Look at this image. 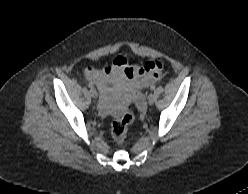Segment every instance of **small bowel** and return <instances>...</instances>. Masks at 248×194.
Here are the masks:
<instances>
[{
  "instance_id": "c3829d8e",
  "label": "small bowel",
  "mask_w": 248,
  "mask_h": 194,
  "mask_svg": "<svg viewBox=\"0 0 248 194\" xmlns=\"http://www.w3.org/2000/svg\"><path fill=\"white\" fill-rule=\"evenodd\" d=\"M149 65L150 63L144 66L131 65L123 56H117L111 64L102 69L87 67L84 74L100 89L103 96H107L113 87L128 88L136 93L141 88L158 82L163 75L162 66L159 69H150ZM103 110H106L105 106Z\"/></svg>"
}]
</instances>
